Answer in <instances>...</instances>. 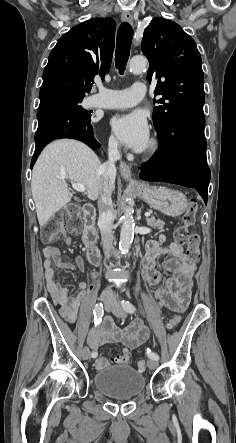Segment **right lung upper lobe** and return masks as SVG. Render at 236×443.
I'll list each match as a JSON object with an SVG mask.
<instances>
[{
    "mask_svg": "<svg viewBox=\"0 0 236 443\" xmlns=\"http://www.w3.org/2000/svg\"><path fill=\"white\" fill-rule=\"evenodd\" d=\"M115 21L96 18L74 26L52 49L43 72L39 97L85 96L93 78L109 71L114 51Z\"/></svg>",
    "mask_w": 236,
    "mask_h": 443,
    "instance_id": "obj_1",
    "label": "right lung upper lobe"
}]
</instances>
